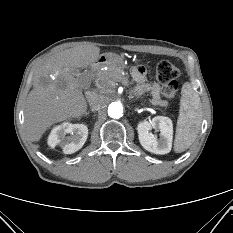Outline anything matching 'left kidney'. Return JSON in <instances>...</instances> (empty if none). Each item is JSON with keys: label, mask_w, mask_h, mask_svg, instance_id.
<instances>
[{"label": "left kidney", "mask_w": 233, "mask_h": 233, "mask_svg": "<svg viewBox=\"0 0 233 233\" xmlns=\"http://www.w3.org/2000/svg\"><path fill=\"white\" fill-rule=\"evenodd\" d=\"M152 128L160 130V137L153 135ZM140 144L154 154H167L172 148L173 124L172 120L164 116H156L152 120H143L137 125Z\"/></svg>", "instance_id": "5707ae66"}]
</instances>
